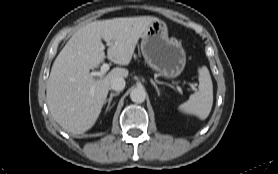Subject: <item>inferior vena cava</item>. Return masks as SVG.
Listing matches in <instances>:
<instances>
[{
	"label": "inferior vena cava",
	"instance_id": "1",
	"mask_svg": "<svg viewBox=\"0 0 278 174\" xmlns=\"http://www.w3.org/2000/svg\"><path fill=\"white\" fill-rule=\"evenodd\" d=\"M110 88L117 92L122 91L125 88V80L123 77H116L111 80Z\"/></svg>",
	"mask_w": 278,
	"mask_h": 174
}]
</instances>
